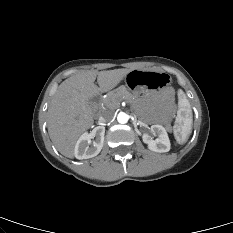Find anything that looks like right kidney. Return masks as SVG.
<instances>
[{
  "label": "right kidney",
  "instance_id": "ca27d5eb",
  "mask_svg": "<svg viewBox=\"0 0 233 233\" xmlns=\"http://www.w3.org/2000/svg\"><path fill=\"white\" fill-rule=\"evenodd\" d=\"M104 134L105 128L102 126L95 127L90 133L82 134L75 145V157L81 160L97 156L103 147Z\"/></svg>",
  "mask_w": 233,
  "mask_h": 233
}]
</instances>
